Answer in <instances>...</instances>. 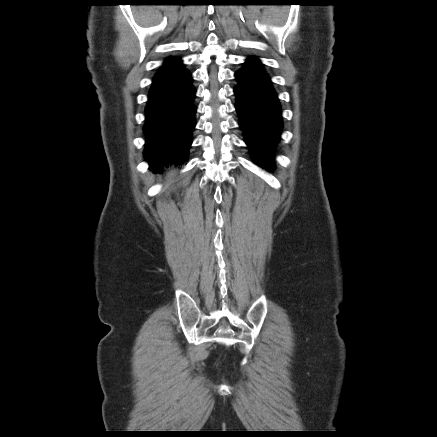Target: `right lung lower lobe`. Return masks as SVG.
<instances>
[{
  "label": "right lung lower lobe",
  "mask_w": 437,
  "mask_h": 437,
  "mask_svg": "<svg viewBox=\"0 0 437 437\" xmlns=\"http://www.w3.org/2000/svg\"><path fill=\"white\" fill-rule=\"evenodd\" d=\"M192 82L191 72L178 57L165 61L153 78L143 130L144 156L155 171L188 159L197 110Z\"/></svg>",
  "instance_id": "98d812e1"
}]
</instances>
